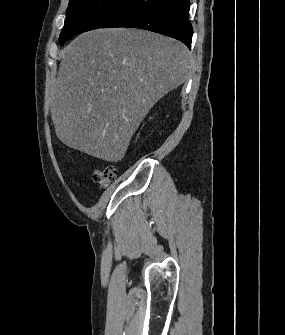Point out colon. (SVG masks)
<instances>
[{"label":"colon","mask_w":285,"mask_h":335,"mask_svg":"<svg viewBox=\"0 0 285 335\" xmlns=\"http://www.w3.org/2000/svg\"><path fill=\"white\" fill-rule=\"evenodd\" d=\"M116 173V168L114 166H108L103 170L96 171L94 179L101 186H107L115 179Z\"/></svg>","instance_id":"1"}]
</instances>
